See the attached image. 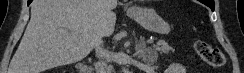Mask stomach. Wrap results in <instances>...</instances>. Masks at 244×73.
<instances>
[{"instance_id": "stomach-1", "label": "stomach", "mask_w": 244, "mask_h": 73, "mask_svg": "<svg viewBox=\"0 0 244 73\" xmlns=\"http://www.w3.org/2000/svg\"><path fill=\"white\" fill-rule=\"evenodd\" d=\"M127 14L152 33L166 35L171 30L170 24L152 8L134 7L130 9Z\"/></svg>"}]
</instances>
